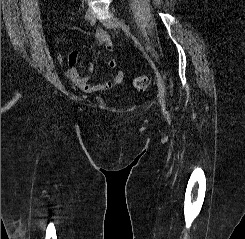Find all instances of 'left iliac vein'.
<instances>
[{"label":"left iliac vein","mask_w":245,"mask_h":239,"mask_svg":"<svg viewBox=\"0 0 245 239\" xmlns=\"http://www.w3.org/2000/svg\"><path fill=\"white\" fill-rule=\"evenodd\" d=\"M103 24L109 28V29H114L117 30L119 29V22L117 21L116 18L114 17H109L103 20ZM157 85H158V91H159V102L160 105L163 107L164 105V89L162 87V85L158 82L157 80Z\"/></svg>","instance_id":"obj_1"}]
</instances>
